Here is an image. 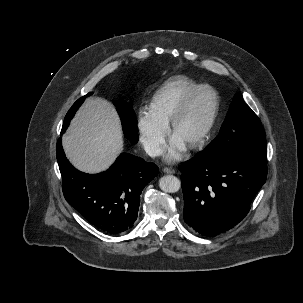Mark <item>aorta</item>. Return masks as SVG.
Instances as JSON below:
<instances>
[{
	"instance_id": "1",
	"label": "aorta",
	"mask_w": 303,
	"mask_h": 303,
	"mask_svg": "<svg viewBox=\"0 0 303 303\" xmlns=\"http://www.w3.org/2000/svg\"><path fill=\"white\" fill-rule=\"evenodd\" d=\"M159 187L164 192L175 193L180 189L181 182L173 175H166L160 178Z\"/></svg>"
}]
</instances>
